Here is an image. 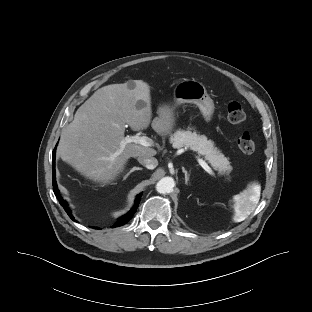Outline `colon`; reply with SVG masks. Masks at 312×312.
<instances>
[{"mask_svg":"<svg viewBox=\"0 0 312 312\" xmlns=\"http://www.w3.org/2000/svg\"><path fill=\"white\" fill-rule=\"evenodd\" d=\"M246 118L243 106L236 101L230 102L227 106V119L232 124H240ZM238 147L245 154H251L255 150V143L248 132H244L238 139Z\"/></svg>","mask_w":312,"mask_h":312,"instance_id":"colon-1","label":"colon"}]
</instances>
